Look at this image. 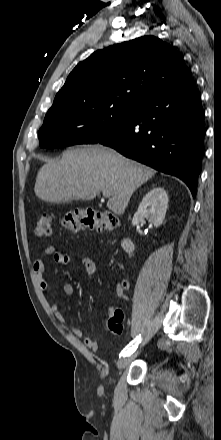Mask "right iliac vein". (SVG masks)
<instances>
[{
  "label": "right iliac vein",
  "mask_w": 221,
  "mask_h": 440,
  "mask_svg": "<svg viewBox=\"0 0 221 440\" xmlns=\"http://www.w3.org/2000/svg\"><path fill=\"white\" fill-rule=\"evenodd\" d=\"M137 355H138V353H135V354H133V355H131V356L120 358V359L118 360V362H117V367H118L119 369H123V368H125L127 365L130 364V362H131V361H132Z\"/></svg>",
  "instance_id": "63e3f726"
}]
</instances>
